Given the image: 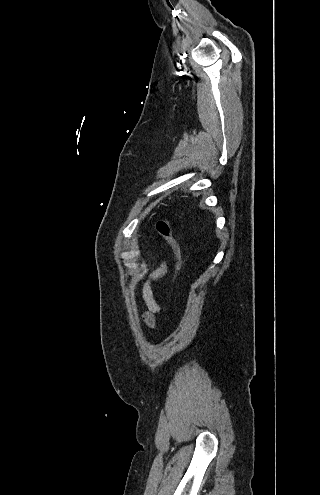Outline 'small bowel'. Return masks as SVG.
Returning <instances> with one entry per match:
<instances>
[{"label":"small bowel","instance_id":"c3829d8e","mask_svg":"<svg viewBox=\"0 0 320 495\" xmlns=\"http://www.w3.org/2000/svg\"><path fill=\"white\" fill-rule=\"evenodd\" d=\"M167 271V266L162 263L150 276L142 288V298L147 307V313L144 316L146 323L150 326L154 325V314L160 311V305L157 303L153 289L152 283L160 278H162Z\"/></svg>","mask_w":320,"mask_h":495}]
</instances>
